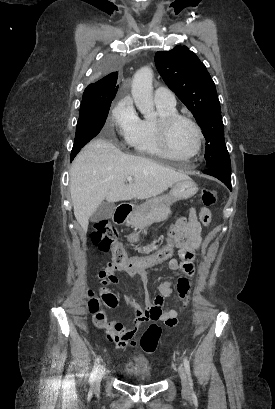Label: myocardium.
<instances>
[{
    "label": "myocardium",
    "instance_id": "f54148a6",
    "mask_svg": "<svg viewBox=\"0 0 275 409\" xmlns=\"http://www.w3.org/2000/svg\"><path fill=\"white\" fill-rule=\"evenodd\" d=\"M179 122H186L192 127L195 133V137H196V147H195L194 152L187 157H197L201 151L202 143H203V136H202L201 129L194 120H192L191 118L187 116L180 115V114H175L172 116L162 118L158 123L159 138H160V142H161L164 152L169 157H181V156H178L173 151L172 145H171L172 130L174 126Z\"/></svg>",
    "mask_w": 275,
    "mask_h": 409
}]
</instances>
